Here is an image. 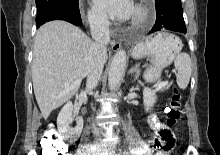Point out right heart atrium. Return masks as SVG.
<instances>
[{
    "label": "right heart atrium",
    "mask_w": 220,
    "mask_h": 155,
    "mask_svg": "<svg viewBox=\"0 0 220 155\" xmlns=\"http://www.w3.org/2000/svg\"><path fill=\"white\" fill-rule=\"evenodd\" d=\"M87 18L89 24L96 29H105L109 25L108 17L94 6L89 7Z\"/></svg>",
    "instance_id": "right-heart-atrium-1"
}]
</instances>
